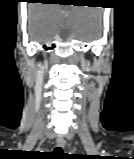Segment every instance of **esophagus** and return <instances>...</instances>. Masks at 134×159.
<instances>
[{
    "label": "esophagus",
    "instance_id": "1",
    "mask_svg": "<svg viewBox=\"0 0 134 159\" xmlns=\"http://www.w3.org/2000/svg\"><path fill=\"white\" fill-rule=\"evenodd\" d=\"M56 145L60 148L65 147V140L62 137H58L56 140Z\"/></svg>",
    "mask_w": 134,
    "mask_h": 159
}]
</instances>
